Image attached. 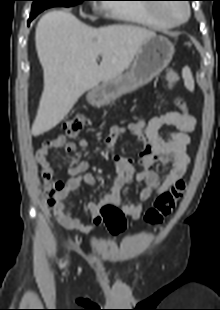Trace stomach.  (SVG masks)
<instances>
[{
    "label": "stomach",
    "instance_id": "0dacf381",
    "mask_svg": "<svg viewBox=\"0 0 220 310\" xmlns=\"http://www.w3.org/2000/svg\"><path fill=\"white\" fill-rule=\"evenodd\" d=\"M173 54L174 46L169 39L149 37L138 50L130 70L93 88L87 95L88 101L101 106L146 85L167 67Z\"/></svg>",
    "mask_w": 220,
    "mask_h": 310
}]
</instances>
